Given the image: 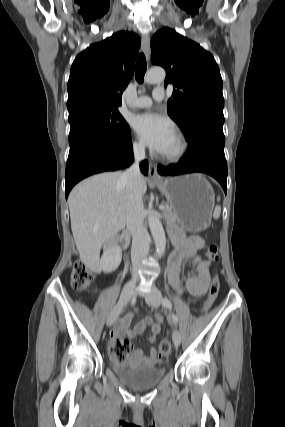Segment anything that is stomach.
<instances>
[{
  "instance_id": "1",
  "label": "stomach",
  "mask_w": 285,
  "mask_h": 427,
  "mask_svg": "<svg viewBox=\"0 0 285 427\" xmlns=\"http://www.w3.org/2000/svg\"><path fill=\"white\" fill-rule=\"evenodd\" d=\"M176 214V224L197 232L207 228L214 207V191L201 174L164 179L156 183Z\"/></svg>"
}]
</instances>
